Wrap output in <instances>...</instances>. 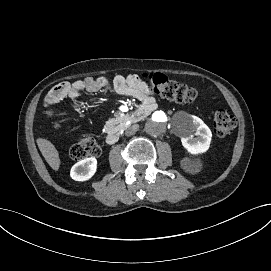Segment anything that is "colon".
Here are the masks:
<instances>
[{
    "instance_id": "1",
    "label": "colon",
    "mask_w": 271,
    "mask_h": 271,
    "mask_svg": "<svg viewBox=\"0 0 271 271\" xmlns=\"http://www.w3.org/2000/svg\"><path fill=\"white\" fill-rule=\"evenodd\" d=\"M149 82V88L156 94L163 98L180 103H193L198 100V92L180 84L176 81L169 80L163 74L143 75ZM49 115L53 114L50 109L47 112ZM236 126L235 118L226 110H218L214 114L213 128L214 133L218 138H223L228 135ZM100 154V147L92 136L83 137L78 143L70 148V156L74 160H82L87 157H96Z\"/></svg>"
}]
</instances>
